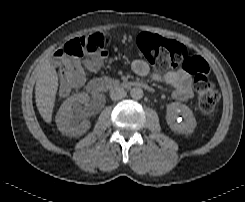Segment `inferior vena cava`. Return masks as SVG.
<instances>
[{
  "instance_id": "inferior-vena-cava-1",
  "label": "inferior vena cava",
  "mask_w": 245,
  "mask_h": 202,
  "mask_svg": "<svg viewBox=\"0 0 245 202\" xmlns=\"http://www.w3.org/2000/svg\"><path fill=\"white\" fill-rule=\"evenodd\" d=\"M126 91L121 87H116L110 91V97L112 100H120L126 97Z\"/></svg>"
}]
</instances>
